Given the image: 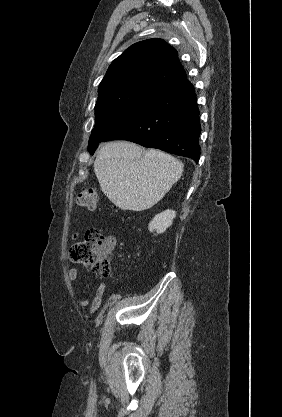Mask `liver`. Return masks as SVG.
<instances>
[{
  "label": "liver",
  "instance_id": "1",
  "mask_svg": "<svg viewBox=\"0 0 282 417\" xmlns=\"http://www.w3.org/2000/svg\"><path fill=\"white\" fill-rule=\"evenodd\" d=\"M183 162L158 148L144 152L127 140L106 142L94 170L101 190L123 211H145L163 198L183 172Z\"/></svg>",
  "mask_w": 282,
  "mask_h": 417
}]
</instances>
